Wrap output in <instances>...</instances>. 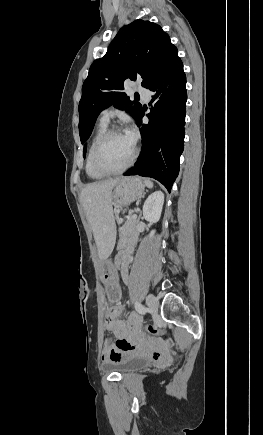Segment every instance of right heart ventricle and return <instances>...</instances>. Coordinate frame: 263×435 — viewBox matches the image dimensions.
I'll use <instances>...</instances> for the list:
<instances>
[{
	"instance_id": "e07e8e85",
	"label": "right heart ventricle",
	"mask_w": 263,
	"mask_h": 435,
	"mask_svg": "<svg viewBox=\"0 0 263 435\" xmlns=\"http://www.w3.org/2000/svg\"><path fill=\"white\" fill-rule=\"evenodd\" d=\"M107 125H108V123H104V122H101V121L98 123V125H97V127L95 129V132L93 134V137H92V139L90 141L89 147H88L87 156H86V162H85V172H86L87 176L90 179L98 180V179H101V178H103L105 176L103 174H100L99 172H97L93 168L91 158H92L93 148H94L97 140L107 130Z\"/></svg>"
}]
</instances>
